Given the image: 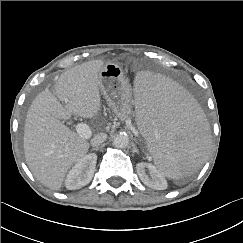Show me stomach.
I'll return each instance as SVG.
<instances>
[{"label": "stomach", "instance_id": "0dacf381", "mask_svg": "<svg viewBox=\"0 0 243 243\" xmlns=\"http://www.w3.org/2000/svg\"><path fill=\"white\" fill-rule=\"evenodd\" d=\"M99 76L100 90L108 106L121 120L127 119L133 110L131 108V86L125 78L123 70L115 63H107ZM147 147L154 156L151 148L148 145Z\"/></svg>", "mask_w": 243, "mask_h": 243}]
</instances>
